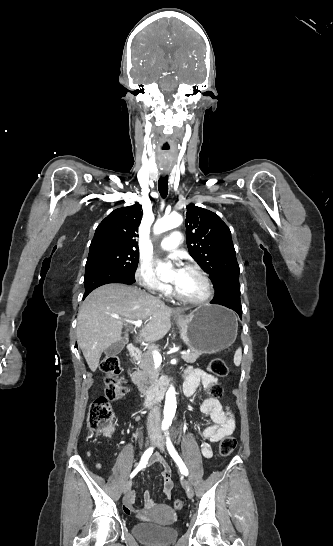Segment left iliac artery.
<instances>
[{
    "mask_svg": "<svg viewBox=\"0 0 333 546\" xmlns=\"http://www.w3.org/2000/svg\"><path fill=\"white\" fill-rule=\"evenodd\" d=\"M165 435H166V445H167V449H168L169 454L171 455L173 460L178 465V467L180 469V472L182 474H184L185 476H187L188 475V469L185 466L184 462L182 461L181 457L179 456L178 452L174 448V446H173V444H172V442L170 440L169 433L167 431L165 432Z\"/></svg>",
    "mask_w": 333,
    "mask_h": 546,
    "instance_id": "obj_1",
    "label": "left iliac artery"
}]
</instances>
